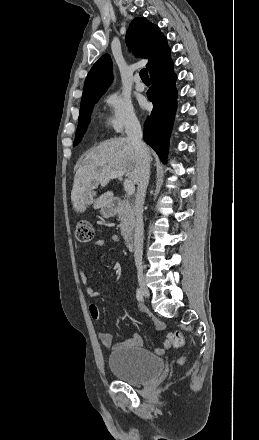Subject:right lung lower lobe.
I'll list each match as a JSON object with an SVG mask.
<instances>
[{
    "label": "right lung lower lobe",
    "mask_w": 259,
    "mask_h": 440,
    "mask_svg": "<svg viewBox=\"0 0 259 440\" xmlns=\"http://www.w3.org/2000/svg\"><path fill=\"white\" fill-rule=\"evenodd\" d=\"M152 87L147 92L153 110L144 123L143 138L159 155L163 163L168 154V142L176 112V75L170 57L150 73Z\"/></svg>",
    "instance_id": "98d812e1"
}]
</instances>
